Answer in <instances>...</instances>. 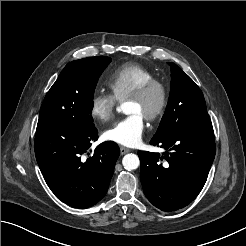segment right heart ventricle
Listing matches in <instances>:
<instances>
[{"instance_id": "right-heart-ventricle-1", "label": "right heart ventricle", "mask_w": 246, "mask_h": 246, "mask_svg": "<svg viewBox=\"0 0 246 246\" xmlns=\"http://www.w3.org/2000/svg\"><path fill=\"white\" fill-rule=\"evenodd\" d=\"M152 79H155V75L148 68L134 63H127L116 68L109 75L107 85L115 99L121 102Z\"/></svg>"}]
</instances>
